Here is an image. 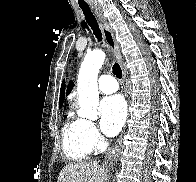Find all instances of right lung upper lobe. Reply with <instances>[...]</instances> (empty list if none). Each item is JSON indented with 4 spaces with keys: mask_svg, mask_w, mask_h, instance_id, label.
Here are the masks:
<instances>
[{
    "mask_svg": "<svg viewBox=\"0 0 196 182\" xmlns=\"http://www.w3.org/2000/svg\"><path fill=\"white\" fill-rule=\"evenodd\" d=\"M64 91H65V83L62 82L61 90H60V100H59V106L61 108L63 101H64Z\"/></svg>",
    "mask_w": 196,
    "mask_h": 182,
    "instance_id": "cb5924a9",
    "label": "right lung upper lobe"
}]
</instances>
